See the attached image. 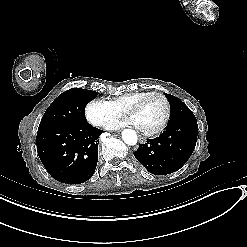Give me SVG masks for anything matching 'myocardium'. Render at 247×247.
Listing matches in <instances>:
<instances>
[{"instance_id": "myocardium-1", "label": "myocardium", "mask_w": 247, "mask_h": 247, "mask_svg": "<svg viewBox=\"0 0 247 247\" xmlns=\"http://www.w3.org/2000/svg\"><path fill=\"white\" fill-rule=\"evenodd\" d=\"M152 96H159L161 97L163 100H164V103H165V115H164V118H163V121L161 122V124L154 128V129H142V132L145 134V135H154V134H157L159 132H161L167 125L169 119H170V116H171V103H170V100L168 99V97L163 94L162 92H159V91H151V92H148L143 98L141 99H138L136 100L134 103H133V108L135 109V111L138 113L140 107H141V104H142V101L148 97H152Z\"/></svg>"}]
</instances>
